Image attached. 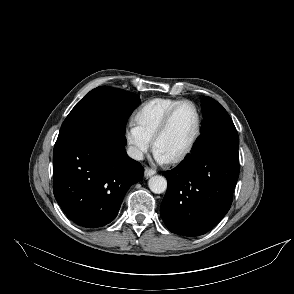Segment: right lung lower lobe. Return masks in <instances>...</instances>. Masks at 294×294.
<instances>
[{"label":"right lung lower lobe","instance_id":"obj_1","mask_svg":"<svg viewBox=\"0 0 294 294\" xmlns=\"http://www.w3.org/2000/svg\"><path fill=\"white\" fill-rule=\"evenodd\" d=\"M124 133L106 131L67 137L54 146L53 192L76 224L104 226L115 219L131 185L144 173L125 151Z\"/></svg>","mask_w":294,"mask_h":294}]
</instances>
